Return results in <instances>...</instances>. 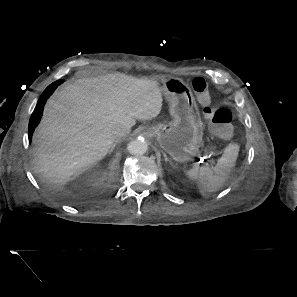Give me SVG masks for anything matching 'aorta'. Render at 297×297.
Instances as JSON below:
<instances>
[{
	"label": "aorta",
	"instance_id": "obj_1",
	"mask_svg": "<svg viewBox=\"0 0 297 297\" xmlns=\"http://www.w3.org/2000/svg\"><path fill=\"white\" fill-rule=\"evenodd\" d=\"M148 150V144L143 139H135L128 143L127 151L132 155H143Z\"/></svg>",
	"mask_w": 297,
	"mask_h": 297
}]
</instances>
